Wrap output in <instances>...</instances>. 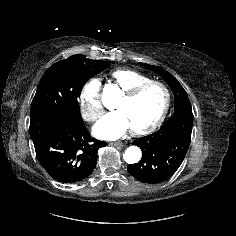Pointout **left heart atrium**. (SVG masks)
I'll use <instances>...</instances> for the list:
<instances>
[{
	"instance_id": "39dd6f15",
	"label": "left heart atrium",
	"mask_w": 236,
	"mask_h": 236,
	"mask_svg": "<svg viewBox=\"0 0 236 236\" xmlns=\"http://www.w3.org/2000/svg\"><path fill=\"white\" fill-rule=\"evenodd\" d=\"M131 125L122 111L104 115L93 127V134L104 140H115L123 136Z\"/></svg>"
}]
</instances>
